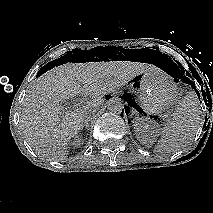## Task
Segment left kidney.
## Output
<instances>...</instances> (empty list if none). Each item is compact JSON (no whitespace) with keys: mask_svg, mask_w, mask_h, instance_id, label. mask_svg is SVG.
Segmentation results:
<instances>
[{"mask_svg":"<svg viewBox=\"0 0 213 213\" xmlns=\"http://www.w3.org/2000/svg\"><path fill=\"white\" fill-rule=\"evenodd\" d=\"M135 132L142 144L154 142V134L157 132V126L154 121L147 118H138L134 121Z\"/></svg>","mask_w":213,"mask_h":213,"instance_id":"5707ae66","label":"left kidney"}]
</instances>
